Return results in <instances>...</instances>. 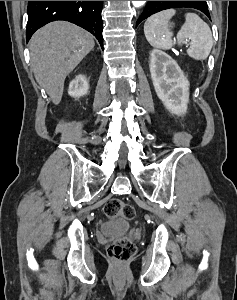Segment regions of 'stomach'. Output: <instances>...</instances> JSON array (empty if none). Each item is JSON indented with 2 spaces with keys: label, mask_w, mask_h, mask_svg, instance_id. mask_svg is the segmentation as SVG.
Instances as JSON below:
<instances>
[{
  "label": "stomach",
  "mask_w": 237,
  "mask_h": 300,
  "mask_svg": "<svg viewBox=\"0 0 237 300\" xmlns=\"http://www.w3.org/2000/svg\"><path fill=\"white\" fill-rule=\"evenodd\" d=\"M173 23H168V29H172Z\"/></svg>",
  "instance_id": "obj_1"
}]
</instances>
